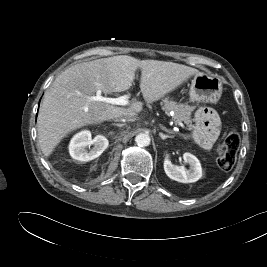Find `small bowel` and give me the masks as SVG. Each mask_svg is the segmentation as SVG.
<instances>
[{"label": "small bowel", "mask_w": 267, "mask_h": 267, "mask_svg": "<svg viewBox=\"0 0 267 267\" xmlns=\"http://www.w3.org/2000/svg\"><path fill=\"white\" fill-rule=\"evenodd\" d=\"M194 138L204 149H209L217 140L220 131V117L212 108H200L194 116Z\"/></svg>", "instance_id": "1"}]
</instances>
